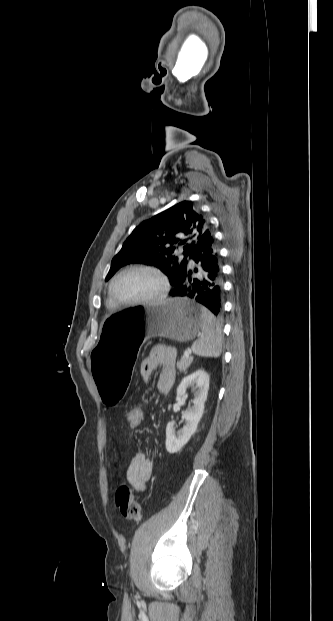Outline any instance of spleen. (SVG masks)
Here are the masks:
<instances>
[{
  "label": "spleen",
  "mask_w": 333,
  "mask_h": 621,
  "mask_svg": "<svg viewBox=\"0 0 333 621\" xmlns=\"http://www.w3.org/2000/svg\"><path fill=\"white\" fill-rule=\"evenodd\" d=\"M202 336L192 344V352L200 357L218 358L222 353V329L219 321L202 307Z\"/></svg>",
  "instance_id": "spleen-1"
}]
</instances>
